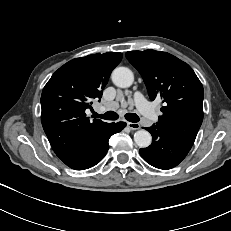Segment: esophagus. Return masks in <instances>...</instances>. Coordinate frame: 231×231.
Returning <instances> with one entry per match:
<instances>
[{
    "label": "esophagus",
    "mask_w": 231,
    "mask_h": 231,
    "mask_svg": "<svg viewBox=\"0 0 231 231\" xmlns=\"http://www.w3.org/2000/svg\"><path fill=\"white\" fill-rule=\"evenodd\" d=\"M127 127L131 130H138L140 125L138 123L127 122Z\"/></svg>",
    "instance_id": "esophagus-1"
}]
</instances>
